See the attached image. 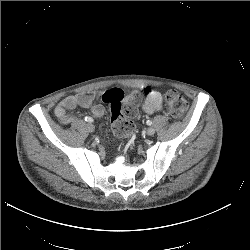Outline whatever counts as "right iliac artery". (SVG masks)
Returning <instances> with one entry per match:
<instances>
[{"instance_id":"obj_1","label":"right iliac artery","mask_w":250,"mask_h":250,"mask_svg":"<svg viewBox=\"0 0 250 250\" xmlns=\"http://www.w3.org/2000/svg\"><path fill=\"white\" fill-rule=\"evenodd\" d=\"M84 120L86 121V122H93V119L91 118V117H89V116H86L85 118H84Z\"/></svg>"}]
</instances>
